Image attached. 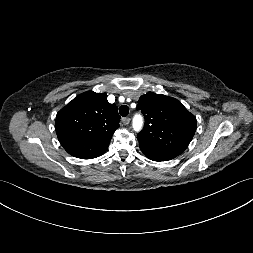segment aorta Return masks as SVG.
<instances>
[{"label":"aorta","mask_w":253,"mask_h":253,"mask_svg":"<svg viewBox=\"0 0 253 253\" xmlns=\"http://www.w3.org/2000/svg\"><path fill=\"white\" fill-rule=\"evenodd\" d=\"M143 125V119L141 116H135L133 119V128L135 131H139L142 128Z\"/></svg>","instance_id":"762f6f07"}]
</instances>
